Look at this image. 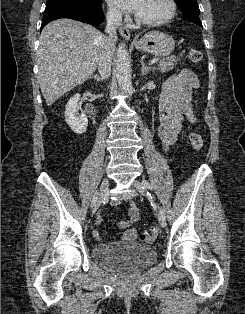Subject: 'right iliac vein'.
I'll return each mask as SVG.
<instances>
[{
	"label": "right iliac vein",
	"mask_w": 245,
	"mask_h": 314,
	"mask_svg": "<svg viewBox=\"0 0 245 314\" xmlns=\"http://www.w3.org/2000/svg\"><path fill=\"white\" fill-rule=\"evenodd\" d=\"M108 190H109V181L106 178V179L103 180V182L101 184L100 192L98 194V197H97L96 202H95L94 207H93V212H95L99 208V206L101 205L102 201L108 195Z\"/></svg>",
	"instance_id": "1"
}]
</instances>
